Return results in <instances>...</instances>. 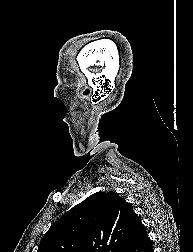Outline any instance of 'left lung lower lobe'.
<instances>
[{"mask_svg": "<svg viewBox=\"0 0 193 252\" xmlns=\"http://www.w3.org/2000/svg\"><path fill=\"white\" fill-rule=\"evenodd\" d=\"M124 252H154L145 228L140 222L129 240Z\"/></svg>", "mask_w": 193, "mask_h": 252, "instance_id": "left-lung-lower-lobe-1", "label": "left lung lower lobe"}]
</instances>
